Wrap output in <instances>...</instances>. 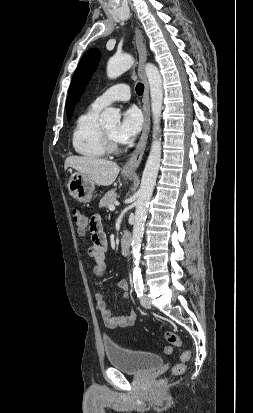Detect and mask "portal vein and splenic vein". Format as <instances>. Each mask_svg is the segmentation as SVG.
<instances>
[{
  "instance_id": "18ae733b",
  "label": "portal vein and splenic vein",
  "mask_w": 253,
  "mask_h": 413,
  "mask_svg": "<svg viewBox=\"0 0 253 413\" xmlns=\"http://www.w3.org/2000/svg\"><path fill=\"white\" fill-rule=\"evenodd\" d=\"M109 210H110V211H114V210H115V206H114L113 204L110 205V206H109Z\"/></svg>"
}]
</instances>
